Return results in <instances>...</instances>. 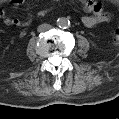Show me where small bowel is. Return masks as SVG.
<instances>
[{
  "instance_id": "c3829d8e",
  "label": "small bowel",
  "mask_w": 119,
  "mask_h": 119,
  "mask_svg": "<svg viewBox=\"0 0 119 119\" xmlns=\"http://www.w3.org/2000/svg\"><path fill=\"white\" fill-rule=\"evenodd\" d=\"M12 4L20 5L23 3L22 0H12ZM81 5L87 12H90V15L84 16L82 18V23L88 28H93L99 24L106 23L110 20V15L103 9L102 5L93 0L81 1ZM97 6V9L95 7ZM0 17L6 25H25L26 21H22L18 18L11 17L6 15L4 12L0 13Z\"/></svg>"
}]
</instances>
